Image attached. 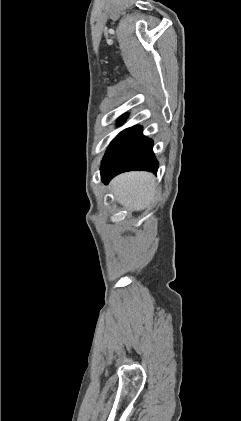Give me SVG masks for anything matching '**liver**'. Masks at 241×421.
Returning a JSON list of instances; mask_svg holds the SVG:
<instances>
[{
	"mask_svg": "<svg viewBox=\"0 0 241 421\" xmlns=\"http://www.w3.org/2000/svg\"><path fill=\"white\" fill-rule=\"evenodd\" d=\"M110 188L121 205L135 211L148 207L156 193L154 176L149 172L121 174L112 180Z\"/></svg>",
	"mask_w": 241,
	"mask_h": 421,
	"instance_id": "1",
	"label": "liver"
}]
</instances>
